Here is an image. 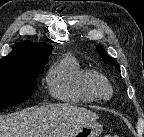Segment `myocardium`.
Returning a JSON list of instances; mask_svg holds the SVG:
<instances>
[{
  "label": "myocardium",
  "instance_id": "f54148a6",
  "mask_svg": "<svg viewBox=\"0 0 144 137\" xmlns=\"http://www.w3.org/2000/svg\"><path fill=\"white\" fill-rule=\"evenodd\" d=\"M89 90L98 98L106 100L112 97L113 88L110 81L102 74L93 72L92 77L88 82ZM108 90V94L104 93V90Z\"/></svg>",
  "mask_w": 144,
  "mask_h": 137
}]
</instances>
